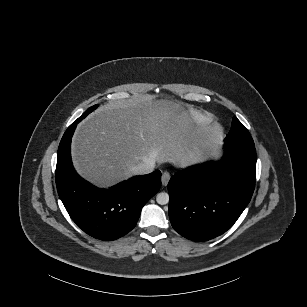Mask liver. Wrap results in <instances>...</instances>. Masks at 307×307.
Wrapping results in <instances>:
<instances>
[{
	"label": "liver",
	"mask_w": 307,
	"mask_h": 307,
	"mask_svg": "<svg viewBox=\"0 0 307 307\" xmlns=\"http://www.w3.org/2000/svg\"><path fill=\"white\" fill-rule=\"evenodd\" d=\"M183 108L152 95L109 101L81 123L72 145L77 172L100 187L132 176L148 160L184 167L199 162L198 137L181 122Z\"/></svg>",
	"instance_id": "liver-1"
}]
</instances>
